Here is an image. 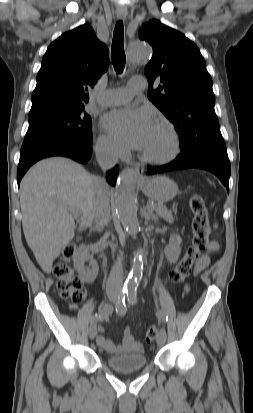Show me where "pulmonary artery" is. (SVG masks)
Masks as SVG:
<instances>
[{
  "mask_svg": "<svg viewBox=\"0 0 253 413\" xmlns=\"http://www.w3.org/2000/svg\"><path fill=\"white\" fill-rule=\"evenodd\" d=\"M143 89L141 82L131 80L128 87L109 89L99 97V103L103 106H115L128 102L135 94Z\"/></svg>",
  "mask_w": 253,
  "mask_h": 413,
  "instance_id": "pulmonary-artery-1",
  "label": "pulmonary artery"
}]
</instances>
